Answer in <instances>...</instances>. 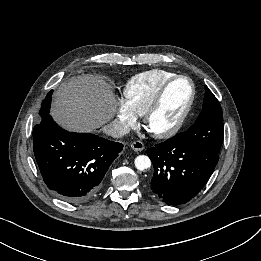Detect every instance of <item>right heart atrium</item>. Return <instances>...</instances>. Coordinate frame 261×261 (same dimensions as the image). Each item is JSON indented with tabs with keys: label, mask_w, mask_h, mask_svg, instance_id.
I'll return each instance as SVG.
<instances>
[{
	"label": "right heart atrium",
	"mask_w": 261,
	"mask_h": 261,
	"mask_svg": "<svg viewBox=\"0 0 261 261\" xmlns=\"http://www.w3.org/2000/svg\"><path fill=\"white\" fill-rule=\"evenodd\" d=\"M115 126L120 133H126L137 122V115L124 100H119L115 110Z\"/></svg>",
	"instance_id": "d8ad5b80"
}]
</instances>
